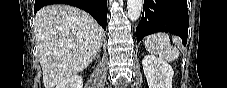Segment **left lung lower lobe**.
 <instances>
[{"label":"left lung lower lobe","mask_w":227,"mask_h":88,"mask_svg":"<svg viewBox=\"0 0 227 88\" xmlns=\"http://www.w3.org/2000/svg\"><path fill=\"white\" fill-rule=\"evenodd\" d=\"M187 0H145L142 19L136 28L137 44L145 36L155 32H170L182 38L188 37Z\"/></svg>","instance_id":"left-lung-lower-lobe-1"}]
</instances>
